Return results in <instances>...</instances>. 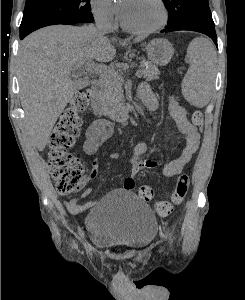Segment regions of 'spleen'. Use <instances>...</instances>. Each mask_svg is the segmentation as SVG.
I'll use <instances>...</instances> for the list:
<instances>
[{"instance_id": "spleen-1", "label": "spleen", "mask_w": 245, "mask_h": 300, "mask_svg": "<svg viewBox=\"0 0 245 300\" xmlns=\"http://www.w3.org/2000/svg\"><path fill=\"white\" fill-rule=\"evenodd\" d=\"M190 66L182 82V94L193 106H206L213 92L216 52L212 43L198 37L187 50Z\"/></svg>"}]
</instances>
